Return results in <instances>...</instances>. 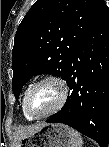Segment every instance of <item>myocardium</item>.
I'll use <instances>...</instances> for the list:
<instances>
[{
  "instance_id": "myocardium-1",
  "label": "myocardium",
  "mask_w": 109,
  "mask_h": 147,
  "mask_svg": "<svg viewBox=\"0 0 109 147\" xmlns=\"http://www.w3.org/2000/svg\"><path fill=\"white\" fill-rule=\"evenodd\" d=\"M46 83H52L59 88L60 98H59L58 102L56 103V105L53 108H51L50 110H48V111H46L45 113H42V114H36L29 109L28 100H29V97L32 94V92L37 87H39L40 85L46 84ZM68 93H69L68 92V86H67V83L65 82L64 79H62L61 77L56 76V75L46 76V77L40 79L39 81H37L36 83H34L27 90V92L24 96V99H23L24 110L29 116L36 118V119L51 116V115L59 112L64 107V105L66 104L67 99H68Z\"/></svg>"
}]
</instances>
